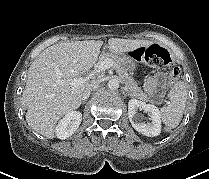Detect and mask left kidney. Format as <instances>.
<instances>
[{
    "label": "left kidney",
    "instance_id": "1",
    "mask_svg": "<svg viewBox=\"0 0 209 179\" xmlns=\"http://www.w3.org/2000/svg\"><path fill=\"white\" fill-rule=\"evenodd\" d=\"M138 109L148 113L149 119L151 120L150 123L146 124L140 120V117L137 115ZM128 117L132 127L145 136L154 137L161 132L160 111L152 104H146L145 102L136 99L129 100Z\"/></svg>",
    "mask_w": 209,
    "mask_h": 179
}]
</instances>
